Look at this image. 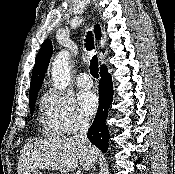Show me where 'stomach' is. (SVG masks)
I'll list each match as a JSON object with an SVG mask.
<instances>
[{
    "instance_id": "1",
    "label": "stomach",
    "mask_w": 175,
    "mask_h": 174,
    "mask_svg": "<svg viewBox=\"0 0 175 174\" xmlns=\"http://www.w3.org/2000/svg\"><path fill=\"white\" fill-rule=\"evenodd\" d=\"M25 174H42V173L37 169H31L26 171Z\"/></svg>"
}]
</instances>
